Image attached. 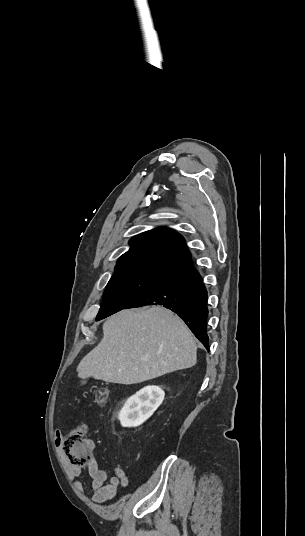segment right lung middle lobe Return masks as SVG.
<instances>
[{
	"mask_svg": "<svg viewBox=\"0 0 305 536\" xmlns=\"http://www.w3.org/2000/svg\"><path fill=\"white\" fill-rule=\"evenodd\" d=\"M165 277L147 275H127L112 277L103 295L96 320L106 318L133 303L147 293Z\"/></svg>",
	"mask_w": 305,
	"mask_h": 536,
	"instance_id": "obj_1",
	"label": "right lung middle lobe"
}]
</instances>
